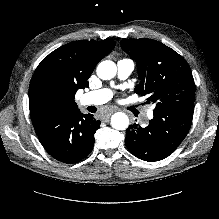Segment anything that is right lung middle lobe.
Returning a JSON list of instances; mask_svg holds the SVG:
<instances>
[{
  "instance_id": "1",
  "label": "right lung middle lobe",
  "mask_w": 219,
  "mask_h": 219,
  "mask_svg": "<svg viewBox=\"0 0 219 219\" xmlns=\"http://www.w3.org/2000/svg\"><path fill=\"white\" fill-rule=\"evenodd\" d=\"M59 110H54L53 112L55 113V112H58ZM47 113H52V112H46L45 114H47ZM40 114H42V113H40Z\"/></svg>"
}]
</instances>
